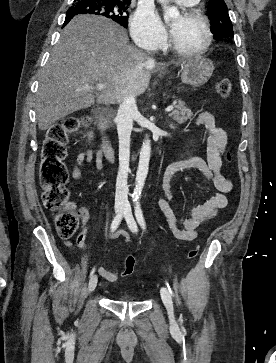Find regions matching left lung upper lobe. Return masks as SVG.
Instances as JSON below:
<instances>
[{
	"instance_id": "obj_1",
	"label": "left lung upper lobe",
	"mask_w": 276,
	"mask_h": 363,
	"mask_svg": "<svg viewBox=\"0 0 276 363\" xmlns=\"http://www.w3.org/2000/svg\"><path fill=\"white\" fill-rule=\"evenodd\" d=\"M207 9L214 38L233 37L234 31L224 0H210Z\"/></svg>"
}]
</instances>
